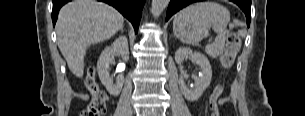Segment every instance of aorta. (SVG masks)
<instances>
[{"label":"aorta","mask_w":305,"mask_h":116,"mask_svg":"<svg viewBox=\"0 0 305 116\" xmlns=\"http://www.w3.org/2000/svg\"><path fill=\"white\" fill-rule=\"evenodd\" d=\"M169 0H152V15L154 17H159V15L168 6Z\"/></svg>","instance_id":"aorta-1"}]
</instances>
